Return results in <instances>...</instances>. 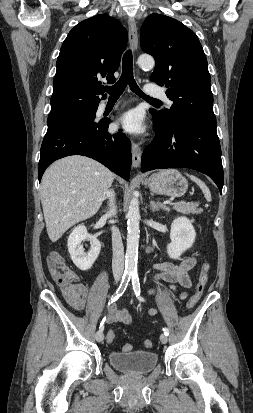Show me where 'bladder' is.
I'll list each match as a JSON object with an SVG mask.
<instances>
[{
  "instance_id": "1",
  "label": "bladder",
  "mask_w": 253,
  "mask_h": 413,
  "mask_svg": "<svg viewBox=\"0 0 253 413\" xmlns=\"http://www.w3.org/2000/svg\"><path fill=\"white\" fill-rule=\"evenodd\" d=\"M109 363L115 369L131 375L151 372L158 363V355L153 351L136 350L130 352H110Z\"/></svg>"
}]
</instances>
